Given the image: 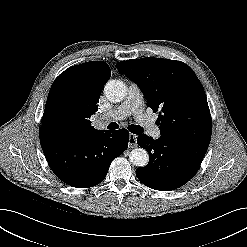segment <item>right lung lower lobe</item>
<instances>
[{"label":"right lung lower lobe","mask_w":247,"mask_h":247,"mask_svg":"<svg viewBox=\"0 0 247 247\" xmlns=\"http://www.w3.org/2000/svg\"><path fill=\"white\" fill-rule=\"evenodd\" d=\"M46 160L64 183L76 188H88L102 182L111 162L128 147L126 129L103 131L76 140L48 131L39 132Z\"/></svg>","instance_id":"1"}]
</instances>
